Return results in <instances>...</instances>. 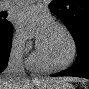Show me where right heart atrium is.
I'll list each match as a JSON object with an SVG mask.
<instances>
[{"instance_id":"obj_1","label":"right heart atrium","mask_w":89,"mask_h":89,"mask_svg":"<svg viewBox=\"0 0 89 89\" xmlns=\"http://www.w3.org/2000/svg\"><path fill=\"white\" fill-rule=\"evenodd\" d=\"M29 42L26 37L18 30H15L12 37V51L17 55H22L27 52Z\"/></svg>"}]
</instances>
